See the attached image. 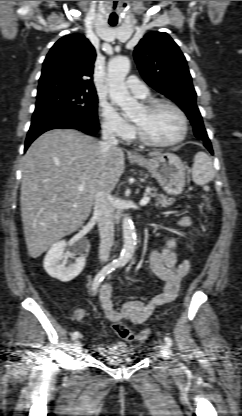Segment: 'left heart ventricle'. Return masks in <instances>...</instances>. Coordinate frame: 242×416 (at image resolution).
<instances>
[{"label":"left heart ventricle","instance_id":"1","mask_svg":"<svg viewBox=\"0 0 242 416\" xmlns=\"http://www.w3.org/2000/svg\"><path fill=\"white\" fill-rule=\"evenodd\" d=\"M132 120L141 126L149 137L158 141L176 139L182 131V122L178 114L165 106L152 111L141 107L132 116Z\"/></svg>","mask_w":242,"mask_h":416}]
</instances>
